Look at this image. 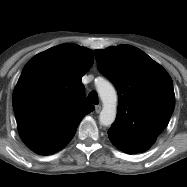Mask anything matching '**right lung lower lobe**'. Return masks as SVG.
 I'll use <instances>...</instances> for the list:
<instances>
[{"mask_svg":"<svg viewBox=\"0 0 187 187\" xmlns=\"http://www.w3.org/2000/svg\"><path fill=\"white\" fill-rule=\"evenodd\" d=\"M74 136V135H73ZM73 136L69 139V140H67V141H65L62 145H61V148L60 149H62L64 146H66L67 144H68V142L73 138ZM59 149V150H60ZM55 153V152H54ZM51 154H53V153H51ZM46 155H48V154H46Z\"/></svg>","mask_w":187,"mask_h":187,"instance_id":"obj_1","label":"right lung lower lobe"}]
</instances>
